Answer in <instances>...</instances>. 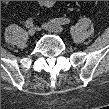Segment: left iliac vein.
<instances>
[{
	"mask_svg": "<svg viewBox=\"0 0 109 109\" xmlns=\"http://www.w3.org/2000/svg\"><path fill=\"white\" fill-rule=\"evenodd\" d=\"M42 27L45 30H47L49 32H53V33H61L64 30L63 26H61L59 24L52 23V22L44 23L42 25Z\"/></svg>",
	"mask_w": 109,
	"mask_h": 109,
	"instance_id": "4c4485c4",
	"label": "left iliac vein"
}]
</instances>
